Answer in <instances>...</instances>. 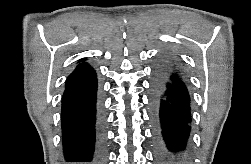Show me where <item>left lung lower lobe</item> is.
I'll return each mask as SVG.
<instances>
[{
    "label": "left lung lower lobe",
    "instance_id": "1",
    "mask_svg": "<svg viewBox=\"0 0 251 164\" xmlns=\"http://www.w3.org/2000/svg\"><path fill=\"white\" fill-rule=\"evenodd\" d=\"M150 111L160 163L178 164L188 159L190 96L177 65L164 59L154 70Z\"/></svg>",
    "mask_w": 251,
    "mask_h": 164
}]
</instances>
